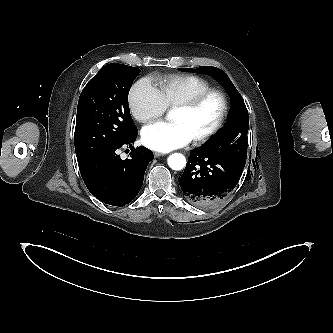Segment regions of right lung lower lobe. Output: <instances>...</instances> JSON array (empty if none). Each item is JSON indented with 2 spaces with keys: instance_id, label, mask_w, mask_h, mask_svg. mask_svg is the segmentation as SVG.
<instances>
[{
  "instance_id": "1",
  "label": "right lung lower lobe",
  "mask_w": 333,
  "mask_h": 333,
  "mask_svg": "<svg viewBox=\"0 0 333 333\" xmlns=\"http://www.w3.org/2000/svg\"><path fill=\"white\" fill-rule=\"evenodd\" d=\"M138 132L121 144L109 148L94 158L79 163V169L88 190L100 201L124 206L140 191L144 173L153 153L145 147L133 149L131 158L122 160L116 150L123 145L131 146Z\"/></svg>"
}]
</instances>
